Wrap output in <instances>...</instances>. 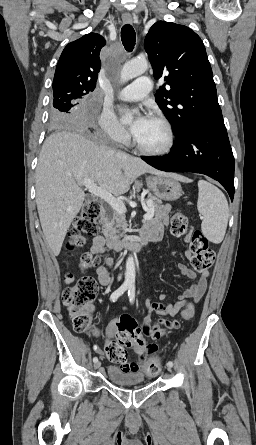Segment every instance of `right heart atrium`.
I'll return each instance as SVG.
<instances>
[{"instance_id":"right-heart-atrium-1","label":"right heart atrium","mask_w":256,"mask_h":445,"mask_svg":"<svg viewBox=\"0 0 256 445\" xmlns=\"http://www.w3.org/2000/svg\"><path fill=\"white\" fill-rule=\"evenodd\" d=\"M101 132L113 143L122 144L128 141V133L120 124L115 114L103 108L97 117Z\"/></svg>"}]
</instances>
